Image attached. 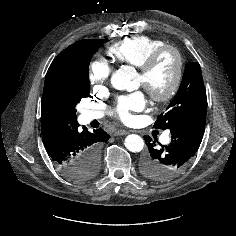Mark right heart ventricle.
Returning a JSON list of instances; mask_svg holds the SVG:
<instances>
[{"label": "right heart ventricle", "mask_w": 236, "mask_h": 236, "mask_svg": "<svg viewBox=\"0 0 236 236\" xmlns=\"http://www.w3.org/2000/svg\"><path fill=\"white\" fill-rule=\"evenodd\" d=\"M166 45L157 38L139 35L119 40L108 48V55L115 61L140 67L156 49Z\"/></svg>", "instance_id": "obj_1"}]
</instances>
